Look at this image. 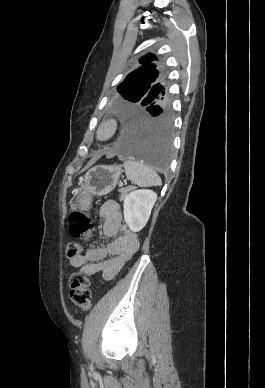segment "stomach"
Here are the masks:
<instances>
[{
    "instance_id": "0dacf381",
    "label": "stomach",
    "mask_w": 265,
    "mask_h": 388,
    "mask_svg": "<svg viewBox=\"0 0 265 388\" xmlns=\"http://www.w3.org/2000/svg\"><path fill=\"white\" fill-rule=\"evenodd\" d=\"M122 173L119 165H99L91 168L85 175L84 182L74 190L73 207H82L88 210L94 196H103L110 193L116 186Z\"/></svg>"
}]
</instances>
